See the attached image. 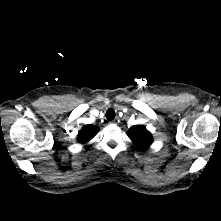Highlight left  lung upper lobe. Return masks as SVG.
I'll return each mask as SVG.
<instances>
[{"instance_id":"5c2ea615","label":"left lung upper lobe","mask_w":221,"mask_h":221,"mask_svg":"<svg viewBox=\"0 0 221 221\" xmlns=\"http://www.w3.org/2000/svg\"><path fill=\"white\" fill-rule=\"evenodd\" d=\"M129 138L140 150H146L152 143V136L145 126L136 125L128 131Z\"/></svg>"}]
</instances>
